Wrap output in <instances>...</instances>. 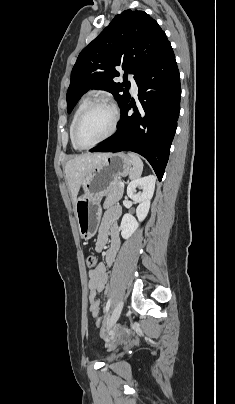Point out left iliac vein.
Segmentation results:
<instances>
[{
  "instance_id": "1",
  "label": "left iliac vein",
  "mask_w": 235,
  "mask_h": 404,
  "mask_svg": "<svg viewBox=\"0 0 235 404\" xmlns=\"http://www.w3.org/2000/svg\"><path fill=\"white\" fill-rule=\"evenodd\" d=\"M122 309H123V301H119L112 315L108 319L106 331L110 330L116 324Z\"/></svg>"
}]
</instances>
